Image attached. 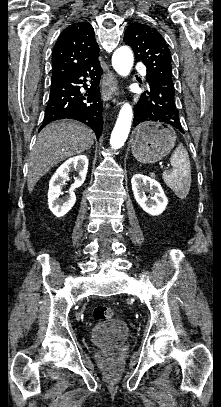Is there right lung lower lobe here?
Masks as SVG:
<instances>
[{"label":"right lung lower lobe","instance_id":"98d812e1","mask_svg":"<svg viewBox=\"0 0 221 407\" xmlns=\"http://www.w3.org/2000/svg\"><path fill=\"white\" fill-rule=\"evenodd\" d=\"M102 68L97 59L51 81V93L41 130L59 119H75L88 125L99 138L102 133V102L99 83ZM84 88L85 91L82 90Z\"/></svg>","mask_w":221,"mask_h":407}]
</instances>
